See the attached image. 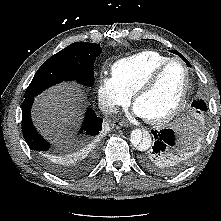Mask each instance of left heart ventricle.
<instances>
[{
    "label": "left heart ventricle",
    "mask_w": 221,
    "mask_h": 221,
    "mask_svg": "<svg viewBox=\"0 0 221 221\" xmlns=\"http://www.w3.org/2000/svg\"><path fill=\"white\" fill-rule=\"evenodd\" d=\"M185 84V69L180 62H174L165 70L155 87L138 99L136 106L147 118L162 116L180 100Z\"/></svg>",
    "instance_id": "b2bd125f"
}]
</instances>
